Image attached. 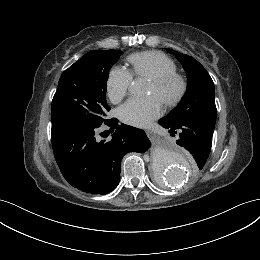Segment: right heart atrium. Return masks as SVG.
Returning <instances> with one entry per match:
<instances>
[{
    "label": "right heart atrium",
    "instance_id": "right-heart-atrium-1",
    "mask_svg": "<svg viewBox=\"0 0 260 260\" xmlns=\"http://www.w3.org/2000/svg\"><path fill=\"white\" fill-rule=\"evenodd\" d=\"M132 82V74L120 67L113 66L109 71L106 90L109 99L113 103L120 102L127 94Z\"/></svg>",
    "mask_w": 260,
    "mask_h": 260
}]
</instances>
